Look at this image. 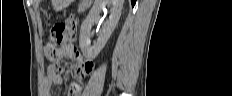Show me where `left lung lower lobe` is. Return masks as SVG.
<instances>
[{
	"mask_svg": "<svg viewBox=\"0 0 232 96\" xmlns=\"http://www.w3.org/2000/svg\"><path fill=\"white\" fill-rule=\"evenodd\" d=\"M131 2H132V6H134L135 5V0H131Z\"/></svg>",
	"mask_w": 232,
	"mask_h": 96,
	"instance_id": "left-lung-lower-lobe-1",
	"label": "left lung lower lobe"
}]
</instances>
